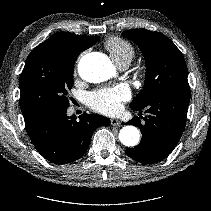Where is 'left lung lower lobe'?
<instances>
[{"instance_id":"obj_1","label":"left lung lower lobe","mask_w":211,"mask_h":211,"mask_svg":"<svg viewBox=\"0 0 211 211\" xmlns=\"http://www.w3.org/2000/svg\"><path fill=\"white\" fill-rule=\"evenodd\" d=\"M189 101L190 90H172L156 97L143 108H133L139 112L145 108L150 115L144 117V125L139 117L128 122L140 128L142 140L136 147L126 149L127 155L145 164L165 159L184 131Z\"/></svg>"}]
</instances>
